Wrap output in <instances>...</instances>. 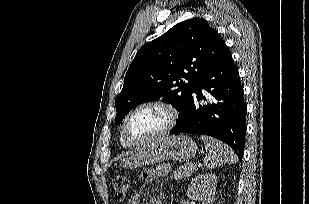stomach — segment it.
Wrapping results in <instances>:
<instances>
[{"mask_svg": "<svg viewBox=\"0 0 309 204\" xmlns=\"http://www.w3.org/2000/svg\"><path fill=\"white\" fill-rule=\"evenodd\" d=\"M195 141L186 135L169 136L153 140L121 163L125 169H134L156 164L164 160L187 161L197 153Z\"/></svg>", "mask_w": 309, "mask_h": 204, "instance_id": "obj_1", "label": "stomach"}]
</instances>
